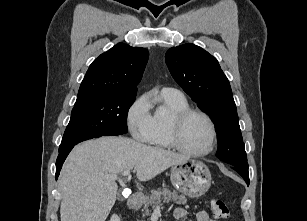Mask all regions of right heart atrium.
<instances>
[{"mask_svg":"<svg viewBox=\"0 0 307 221\" xmlns=\"http://www.w3.org/2000/svg\"><path fill=\"white\" fill-rule=\"evenodd\" d=\"M126 121L133 138L147 142L150 131L151 114L149 101L145 95L134 100L129 106Z\"/></svg>","mask_w":307,"mask_h":221,"instance_id":"obj_1","label":"right heart atrium"}]
</instances>
